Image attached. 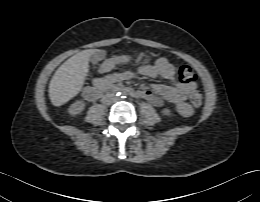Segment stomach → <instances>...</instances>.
<instances>
[{
  "mask_svg": "<svg viewBox=\"0 0 260 202\" xmlns=\"http://www.w3.org/2000/svg\"><path fill=\"white\" fill-rule=\"evenodd\" d=\"M150 62V59L149 58H146L142 61V63H149Z\"/></svg>",
  "mask_w": 260,
  "mask_h": 202,
  "instance_id": "0dacf381",
  "label": "stomach"
}]
</instances>
